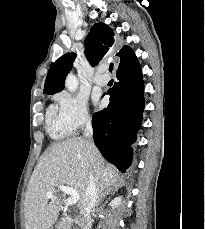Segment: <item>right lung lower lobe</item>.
I'll use <instances>...</instances> for the list:
<instances>
[{
    "label": "right lung lower lobe",
    "instance_id": "98d812e1",
    "mask_svg": "<svg viewBox=\"0 0 205 229\" xmlns=\"http://www.w3.org/2000/svg\"><path fill=\"white\" fill-rule=\"evenodd\" d=\"M117 79L107 92L108 107L93 114L92 124L94 142L101 154L125 172L132 161L130 145L136 140L144 109V85L138 60L119 68Z\"/></svg>",
    "mask_w": 205,
    "mask_h": 229
}]
</instances>
